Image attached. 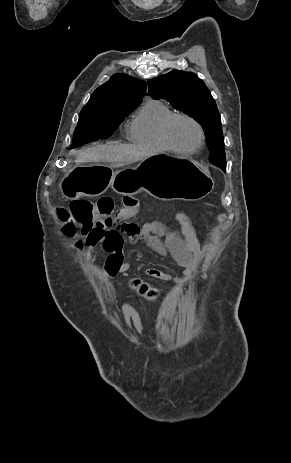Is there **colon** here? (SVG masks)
I'll list each match as a JSON object with an SVG mask.
<instances>
[{"label": "colon", "instance_id": "obj_1", "mask_svg": "<svg viewBox=\"0 0 291 463\" xmlns=\"http://www.w3.org/2000/svg\"><path fill=\"white\" fill-rule=\"evenodd\" d=\"M137 207V202L131 197L116 201L111 197H101L97 201L82 199L73 200L69 207L58 208V218L63 222L62 233L66 237L74 236L78 225L82 232L94 229H114L122 217ZM132 289L146 300L157 297L156 290L140 279L131 281Z\"/></svg>", "mask_w": 291, "mask_h": 463}]
</instances>
